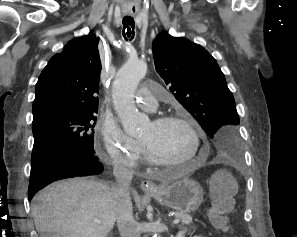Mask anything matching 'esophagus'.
Instances as JSON below:
<instances>
[{"label":"esophagus","mask_w":297,"mask_h":237,"mask_svg":"<svg viewBox=\"0 0 297 237\" xmlns=\"http://www.w3.org/2000/svg\"><path fill=\"white\" fill-rule=\"evenodd\" d=\"M140 186L143 191H156L157 190V187L155 186V184L150 180L142 181Z\"/></svg>","instance_id":"esophagus-1"}]
</instances>
